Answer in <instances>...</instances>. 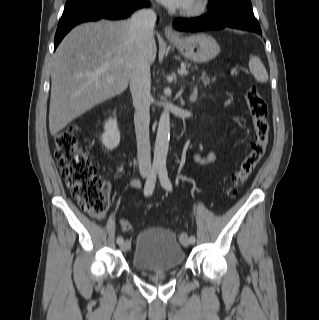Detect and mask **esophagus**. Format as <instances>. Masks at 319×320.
I'll use <instances>...</instances> for the list:
<instances>
[{
  "instance_id": "obj_1",
  "label": "esophagus",
  "mask_w": 319,
  "mask_h": 320,
  "mask_svg": "<svg viewBox=\"0 0 319 320\" xmlns=\"http://www.w3.org/2000/svg\"><path fill=\"white\" fill-rule=\"evenodd\" d=\"M164 33H165V36H166L168 39H172V38L177 37V34H176V32L174 31V29L172 28L171 25H167V26L165 27Z\"/></svg>"
}]
</instances>
